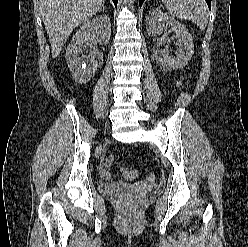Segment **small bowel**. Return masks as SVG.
<instances>
[{
	"mask_svg": "<svg viewBox=\"0 0 248 247\" xmlns=\"http://www.w3.org/2000/svg\"><path fill=\"white\" fill-rule=\"evenodd\" d=\"M100 174L105 178V179H110L112 176L111 174L106 170V168L102 165L99 167Z\"/></svg>",
	"mask_w": 248,
	"mask_h": 247,
	"instance_id": "1",
	"label": "small bowel"
}]
</instances>
